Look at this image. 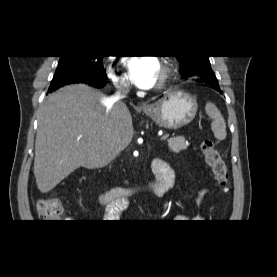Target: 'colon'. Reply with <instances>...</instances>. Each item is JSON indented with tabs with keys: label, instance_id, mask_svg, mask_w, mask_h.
I'll list each match as a JSON object with an SVG mask.
<instances>
[{
	"label": "colon",
	"instance_id": "colon-1",
	"mask_svg": "<svg viewBox=\"0 0 277 277\" xmlns=\"http://www.w3.org/2000/svg\"><path fill=\"white\" fill-rule=\"evenodd\" d=\"M201 152L217 183L222 190H226L228 188V169L215 143L210 139L203 140ZM37 210L42 220L54 222L62 215L63 206L58 198L47 197L38 201Z\"/></svg>",
	"mask_w": 277,
	"mask_h": 277
}]
</instances>
